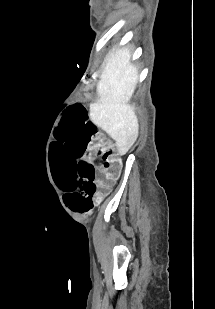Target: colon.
I'll return each instance as SVG.
<instances>
[{
  "instance_id": "colon-1",
  "label": "colon",
  "mask_w": 215,
  "mask_h": 309,
  "mask_svg": "<svg viewBox=\"0 0 215 309\" xmlns=\"http://www.w3.org/2000/svg\"><path fill=\"white\" fill-rule=\"evenodd\" d=\"M103 169L112 173L118 174L121 164L117 156L112 151H107L103 153Z\"/></svg>"
}]
</instances>
